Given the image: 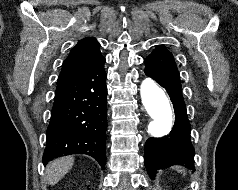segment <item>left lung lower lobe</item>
<instances>
[{"instance_id": "obj_1", "label": "left lung lower lobe", "mask_w": 238, "mask_h": 190, "mask_svg": "<svg viewBox=\"0 0 238 190\" xmlns=\"http://www.w3.org/2000/svg\"><path fill=\"white\" fill-rule=\"evenodd\" d=\"M145 74L166 89L175 112L171 132L160 138H149L145 145L144 162L151 177L157 170L172 164H184L194 170V148L191 143V125L182 95L181 82L172 54L153 51L145 58Z\"/></svg>"}]
</instances>
